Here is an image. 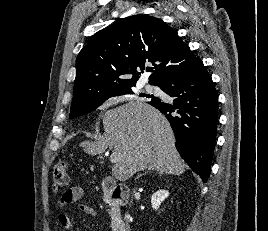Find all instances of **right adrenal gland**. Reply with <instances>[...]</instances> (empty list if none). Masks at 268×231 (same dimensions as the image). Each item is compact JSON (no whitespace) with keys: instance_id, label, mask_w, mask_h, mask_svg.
<instances>
[{"instance_id":"right-adrenal-gland-1","label":"right adrenal gland","mask_w":268,"mask_h":231,"mask_svg":"<svg viewBox=\"0 0 268 231\" xmlns=\"http://www.w3.org/2000/svg\"><path fill=\"white\" fill-rule=\"evenodd\" d=\"M148 172H149V171H146L145 173L138 175V176L136 177V179H138V178L141 177L142 175L147 174Z\"/></svg>"}]
</instances>
